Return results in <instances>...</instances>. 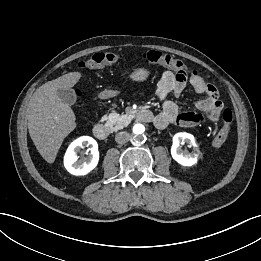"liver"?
I'll use <instances>...</instances> for the list:
<instances>
[{
  "label": "liver",
  "mask_w": 261,
  "mask_h": 261,
  "mask_svg": "<svg viewBox=\"0 0 261 261\" xmlns=\"http://www.w3.org/2000/svg\"><path fill=\"white\" fill-rule=\"evenodd\" d=\"M81 78L80 72H70L40 86L28 106V130L38 152L53 163L63 140L76 128L71 107L57 95L58 89L72 88Z\"/></svg>",
  "instance_id": "obj_1"
}]
</instances>
